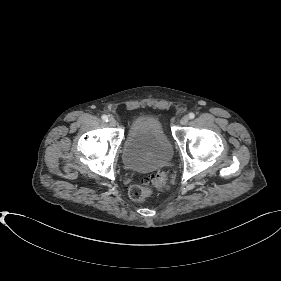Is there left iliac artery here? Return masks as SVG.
Instances as JSON below:
<instances>
[{"label":"left iliac artery","instance_id":"left-iliac-artery-1","mask_svg":"<svg viewBox=\"0 0 281 281\" xmlns=\"http://www.w3.org/2000/svg\"><path fill=\"white\" fill-rule=\"evenodd\" d=\"M194 117H195V114H194V113H189V114H188V118H189V119H193Z\"/></svg>","mask_w":281,"mask_h":281}]
</instances>
